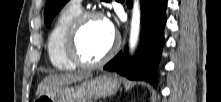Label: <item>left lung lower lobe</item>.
<instances>
[{
	"label": "left lung lower lobe",
	"instance_id": "0a47b994",
	"mask_svg": "<svg viewBox=\"0 0 221 102\" xmlns=\"http://www.w3.org/2000/svg\"><path fill=\"white\" fill-rule=\"evenodd\" d=\"M131 8L132 1L127 0ZM167 0H141L142 36L133 61L128 63V51L120 52L104 70L116 71L131 80H145L154 87L157 84V66L164 44L163 29L166 24Z\"/></svg>",
	"mask_w": 221,
	"mask_h": 102
}]
</instances>
